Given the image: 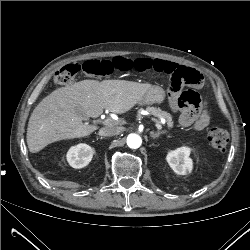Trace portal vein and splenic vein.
Listing matches in <instances>:
<instances>
[{
    "label": "portal vein and splenic vein",
    "mask_w": 250,
    "mask_h": 250,
    "mask_svg": "<svg viewBox=\"0 0 250 250\" xmlns=\"http://www.w3.org/2000/svg\"><path fill=\"white\" fill-rule=\"evenodd\" d=\"M161 122H162V123H165V119H161ZM103 123H104L105 125H112V124L114 123V120H112V119H105ZM155 126H156L159 130L162 129L161 124L158 123V122L155 123Z\"/></svg>",
    "instance_id": "1"
}]
</instances>
